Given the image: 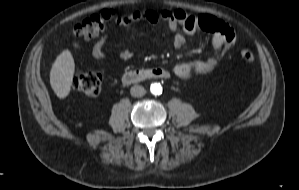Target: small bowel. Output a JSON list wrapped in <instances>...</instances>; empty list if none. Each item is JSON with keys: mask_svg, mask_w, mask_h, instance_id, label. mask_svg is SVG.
I'll return each instance as SVG.
<instances>
[{"mask_svg": "<svg viewBox=\"0 0 299 190\" xmlns=\"http://www.w3.org/2000/svg\"><path fill=\"white\" fill-rule=\"evenodd\" d=\"M187 13L183 9L168 10L161 14L152 9L139 10L132 9L130 13L116 20V23L124 26H132L137 22H148L157 24L162 18L167 20L168 28L173 33V46L180 48L185 43L186 35L193 34L199 27L212 32V54L204 59H196L189 62H181L174 66L173 73L176 77L186 79L193 74H205L212 71L220 62L224 53L235 41L234 30L216 16L206 14L203 17L207 18L205 26L199 24V18ZM104 37L99 39L92 47V55L96 59L104 57L103 45ZM75 49H81L82 46L76 42L71 43ZM122 59H129L132 53L129 50H124L120 53Z\"/></svg>", "mask_w": 299, "mask_h": 190, "instance_id": "small-bowel-1", "label": "small bowel"}]
</instances>
